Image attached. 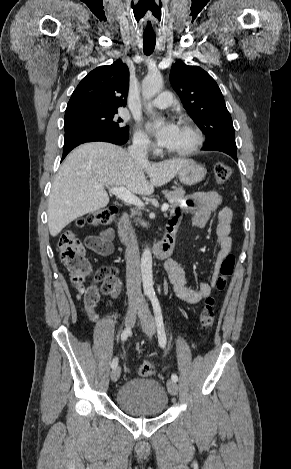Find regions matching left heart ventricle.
Here are the masks:
<instances>
[{"mask_svg": "<svg viewBox=\"0 0 291 469\" xmlns=\"http://www.w3.org/2000/svg\"><path fill=\"white\" fill-rule=\"evenodd\" d=\"M193 139L194 137L190 129L179 125L173 140L166 148L169 150H183L192 144Z\"/></svg>", "mask_w": 291, "mask_h": 469, "instance_id": "obj_1", "label": "left heart ventricle"}]
</instances>
